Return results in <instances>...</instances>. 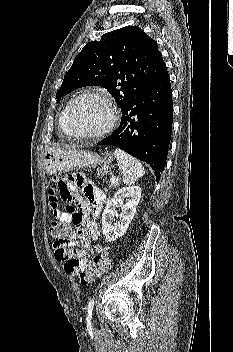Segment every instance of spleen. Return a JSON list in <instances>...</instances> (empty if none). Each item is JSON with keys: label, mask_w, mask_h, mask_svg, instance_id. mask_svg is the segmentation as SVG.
I'll list each match as a JSON object with an SVG mask.
<instances>
[{"label": "spleen", "mask_w": 233, "mask_h": 352, "mask_svg": "<svg viewBox=\"0 0 233 352\" xmlns=\"http://www.w3.org/2000/svg\"><path fill=\"white\" fill-rule=\"evenodd\" d=\"M114 155L118 161V167L123 175V182L131 185L145 174L142 164L134 157L121 149H115Z\"/></svg>", "instance_id": "obj_1"}]
</instances>
